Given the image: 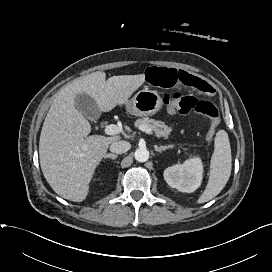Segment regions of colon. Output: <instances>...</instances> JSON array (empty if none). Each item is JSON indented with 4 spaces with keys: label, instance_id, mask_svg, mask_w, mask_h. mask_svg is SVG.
Returning <instances> with one entry per match:
<instances>
[{
    "label": "colon",
    "instance_id": "colon-1",
    "mask_svg": "<svg viewBox=\"0 0 272 272\" xmlns=\"http://www.w3.org/2000/svg\"><path fill=\"white\" fill-rule=\"evenodd\" d=\"M163 101L170 112L180 114L195 113L209 118L211 125L207 132V138L212 139L214 137L219 125V112L212 102L180 92L165 94Z\"/></svg>",
    "mask_w": 272,
    "mask_h": 272
}]
</instances>
